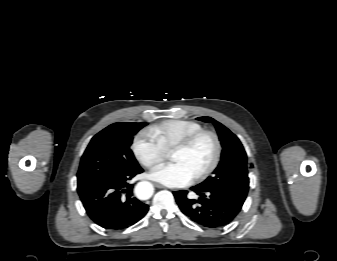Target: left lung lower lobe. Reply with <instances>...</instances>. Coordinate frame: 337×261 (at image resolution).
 Segmentation results:
<instances>
[{
  "label": "left lung lower lobe",
  "instance_id": "obj_1",
  "mask_svg": "<svg viewBox=\"0 0 337 261\" xmlns=\"http://www.w3.org/2000/svg\"><path fill=\"white\" fill-rule=\"evenodd\" d=\"M199 198L188 199L187 191H176L174 196L180 210L196 224L206 228H221L229 224L240 212L242 205L217 190L191 188Z\"/></svg>",
  "mask_w": 337,
  "mask_h": 261
}]
</instances>
